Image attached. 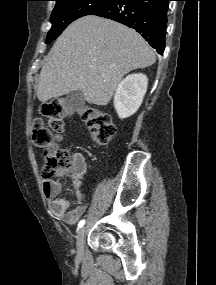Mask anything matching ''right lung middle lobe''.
Instances as JSON below:
<instances>
[{
    "label": "right lung middle lobe",
    "instance_id": "right-lung-middle-lobe-1",
    "mask_svg": "<svg viewBox=\"0 0 216 285\" xmlns=\"http://www.w3.org/2000/svg\"><path fill=\"white\" fill-rule=\"evenodd\" d=\"M56 5L51 14L52 28L48 32L46 44L55 40L74 20L89 15L112 0H54Z\"/></svg>",
    "mask_w": 216,
    "mask_h": 285
}]
</instances>
